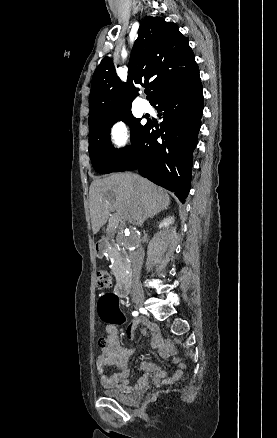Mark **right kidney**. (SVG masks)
I'll use <instances>...</instances> for the list:
<instances>
[{"label":"right kidney","mask_w":277,"mask_h":438,"mask_svg":"<svg viewBox=\"0 0 277 438\" xmlns=\"http://www.w3.org/2000/svg\"><path fill=\"white\" fill-rule=\"evenodd\" d=\"M171 224H174L173 216H169V218H164V220H162V222H160L158 228H159V230H161V228H169V226H171Z\"/></svg>","instance_id":"ca27d5eb"}]
</instances>
